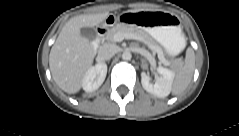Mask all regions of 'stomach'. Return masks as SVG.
Wrapping results in <instances>:
<instances>
[{
    "label": "stomach",
    "mask_w": 239,
    "mask_h": 136,
    "mask_svg": "<svg viewBox=\"0 0 239 136\" xmlns=\"http://www.w3.org/2000/svg\"><path fill=\"white\" fill-rule=\"evenodd\" d=\"M119 24L125 27H139L158 42L169 56L179 54L185 40L178 19L166 12H120Z\"/></svg>",
    "instance_id": "1"
}]
</instances>
